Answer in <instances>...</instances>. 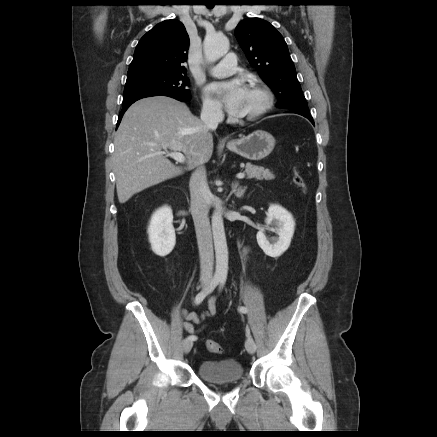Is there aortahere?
Masks as SVG:
<instances>
[{
	"mask_svg": "<svg viewBox=\"0 0 437 437\" xmlns=\"http://www.w3.org/2000/svg\"><path fill=\"white\" fill-rule=\"evenodd\" d=\"M229 50V40L226 36L214 34L204 40V55L208 62H215ZM212 232L215 247L216 270L218 277L226 278L228 273V248L224 230L223 217L220 209L212 215Z\"/></svg>",
	"mask_w": 437,
	"mask_h": 437,
	"instance_id": "1",
	"label": "aorta"
}]
</instances>
